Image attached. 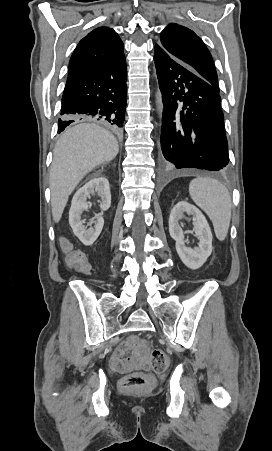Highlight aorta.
<instances>
[{"mask_svg":"<svg viewBox=\"0 0 272 451\" xmlns=\"http://www.w3.org/2000/svg\"><path fill=\"white\" fill-rule=\"evenodd\" d=\"M156 102H157V108L159 110V114H162L163 102H162V94H161L160 90H157V92H156Z\"/></svg>","mask_w":272,"mask_h":451,"instance_id":"aorta-1","label":"aorta"}]
</instances>
